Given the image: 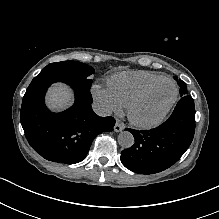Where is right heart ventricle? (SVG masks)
<instances>
[{"mask_svg":"<svg viewBox=\"0 0 219 219\" xmlns=\"http://www.w3.org/2000/svg\"><path fill=\"white\" fill-rule=\"evenodd\" d=\"M160 78L161 75L147 71L123 72L108 81L109 92L122 107H128L136 95Z\"/></svg>","mask_w":219,"mask_h":219,"instance_id":"obj_1","label":"right heart ventricle"}]
</instances>
